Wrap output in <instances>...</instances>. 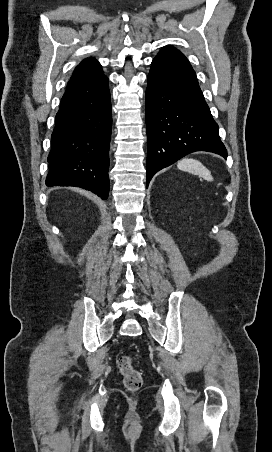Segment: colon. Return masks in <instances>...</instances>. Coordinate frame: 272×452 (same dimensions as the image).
Returning a JSON list of instances; mask_svg holds the SVG:
<instances>
[{"label": "colon", "mask_w": 272, "mask_h": 452, "mask_svg": "<svg viewBox=\"0 0 272 452\" xmlns=\"http://www.w3.org/2000/svg\"><path fill=\"white\" fill-rule=\"evenodd\" d=\"M117 366L123 377L125 388L130 392L138 391L143 384V377L140 371L134 367V358L128 355L120 356Z\"/></svg>", "instance_id": "colon-1"}]
</instances>
